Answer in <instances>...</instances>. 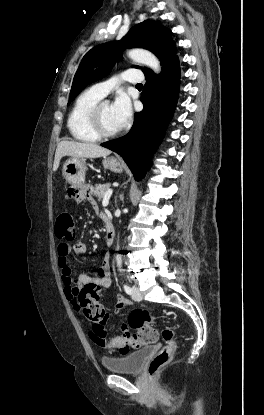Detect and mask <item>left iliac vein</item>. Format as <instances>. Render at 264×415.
I'll use <instances>...</instances> for the list:
<instances>
[{
  "label": "left iliac vein",
  "instance_id": "1",
  "mask_svg": "<svg viewBox=\"0 0 264 415\" xmlns=\"http://www.w3.org/2000/svg\"><path fill=\"white\" fill-rule=\"evenodd\" d=\"M132 299L135 301L142 300V294L137 286L132 287Z\"/></svg>",
  "mask_w": 264,
  "mask_h": 415
}]
</instances>
